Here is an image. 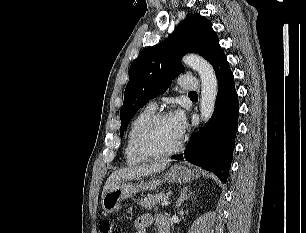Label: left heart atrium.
<instances>
[{"label":"left heart atrium","instance_id":"left-heart-atrium-1","mask_svg":"<svg viewBox=\"0 0 306 233\" xmlns=\"http://www.w3.org/2000/svg\"><path fill=\"white\" fill-rule=\"evenodd\" d=\"M169 118L177 136L181 139L186 131L187 126L184 112L178 109Z\"/></svg>","mask_w":306,"mask_h":233}]
</instances>
